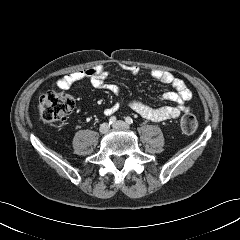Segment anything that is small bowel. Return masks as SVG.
Wrapping results in <instances>:
<instances>
[{
    "label": "small bowel",
    "instance_id": "1",
    "mask_svg": "<svg viewBox=\"0 0 240 240\" xmlns=\"http://www.w3.org/2000/svg\"><path fill=\"white\" fill-rule=\"evenodd\" d=\"M121 68L130 71L133 74L139 73V68L130 65H120ZM108 72L103 65L90 66L72 73H69L58 80V85L61 88H68L71 84L87 80L94 88L105 89L113 94H120V86L108 83ZM151 76L154 80L164 84L170 85L174 89L162 96V100L173 102L172 106L152 107L140 100L133 99L129 102V106L140 116L145 119L162 122L165 120L175 119L181 113L188 111L186 102L191 98L192 93L186 86L185 82L175 77L173 74L162 70H152ZM120 106V102L114 103L105 110L106 115L113 114Z\"/></svg>",
    "mask_w": 240,
    "mask_h": 240
}]
</instances>
